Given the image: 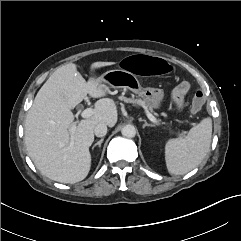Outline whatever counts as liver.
Listing matches in <instances>:
<instances>
[{
  "label": "liver",
  "instance_id": "obj_1",
  "mask_svg": "<svg viewBox=\"0 0 241 241\" xmlns=\"http://www.w3.org/2000/svg\"><path fill=\"white\" fill-rule=\"evenodd\" d=\"M114 62H94V71ZM101 77L88 81L78 73L74 63L60 66L38 91L25 120V145L36 168L51 180L76 183L86 178L91 167L89 147L94 141V129L104 123H117V106ZM89 94L100 98L94 105L93 115L79 121L73 135L69 128L74 121L71 111Z\"/></svg>",
  "mask_w": 241,
  "mask_h": 241
}]
</instances>
